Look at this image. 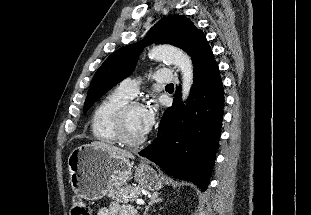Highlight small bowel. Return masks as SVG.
Segmentation results:
<instances>
[{
  "label": "small bowel",
  "mask_w": 311,
  "mask_h": 215,
  "mask_svg": "<svg viewBox=\"0 0 311 215\" xmlns=\"http://www.w3.org/2000/svg\"><path fill=\"white\" fill-rule=\"evenodd\" d=\"M97 215H137L136 210L130 205H120L117 202H111L102 207Z\"/></svg>",
  "instance_id": "1"
}]
</instances>
